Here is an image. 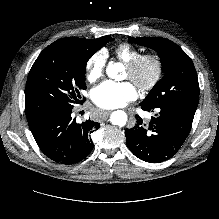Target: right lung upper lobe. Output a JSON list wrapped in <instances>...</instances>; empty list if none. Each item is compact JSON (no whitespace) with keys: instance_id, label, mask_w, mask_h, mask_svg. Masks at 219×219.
<instances>
[{"instance_id":"1","label":"right lung upper lobe","mask_w":219,"mask_h":219,"mask_svg":"<svg viewBox=\"0 0 219 219\" xmlns=\"http://www.w3.org/2000/svg\"><path fill=\"white\" fill-rule=\"evenodd\" d=\"M111 36L107 35V36H103V37H100L98 39H82V38H74V37H69V38H66L70 41H74V42H80L86 46H89V47H94L96 49H100L101 47H103L108 41V39L110 38Z\"/></svg>"}]
</instances>
